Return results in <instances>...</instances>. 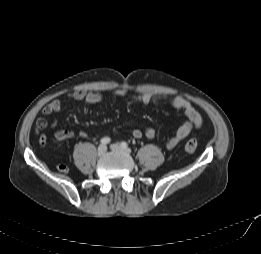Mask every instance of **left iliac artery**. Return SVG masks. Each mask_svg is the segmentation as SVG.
<instances>
[{"label":"left iliac artery","instance_id":"left-iliac-artery-1","mask_svg":"<svg viewBox=\"0 0 261 254\" xmlns=\"http://www.w3.org/2000/svg\"><path fill=\"white\" fill-rule=\"evenodd\" d=\"M121 146H122L123 148H127V147H128V144H127L126 142H122V143H121Z\"/></svg>","mask_w":261,"mask_h":254}]
</instances>
